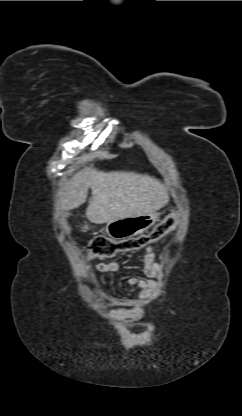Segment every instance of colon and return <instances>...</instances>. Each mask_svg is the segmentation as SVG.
<instances>
[{"label":"colon","instance_id":"5ec220e1","mask_svg":"<svg viewBox=\"0 0 242 416\" xmlns=\"http://www.w3.org/2000/svg\"><path fill=\"white\" fill-rule=\"evenodd\" d=\"M177 225V217L169 215L158 223L151 231L129 237L122 240H114L106 236H98L89 243L87 252L92 259H109L118 254H123L142 249L149 244L163 239Z\"/></svg>","mask_w":242,"mask_h":416}]
</instances>
